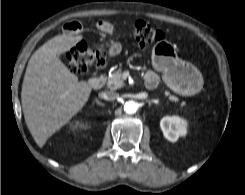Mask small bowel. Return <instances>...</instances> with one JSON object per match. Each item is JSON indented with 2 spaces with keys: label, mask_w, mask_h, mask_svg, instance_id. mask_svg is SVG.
<instances>
[{
  "label": "small bowel",
  "mask_w": 245,
  "mask_h": 195,
  "mask_svg": "<svg viewBox=\"0 0 245 195\" xmlns=\"http://www.w3.org/2000/svg\"><path fill=\"white\" fill-rule=\"evenodd\" d=\"M97 28L103 33H105L106 35H108L109 37H112L114 34V27L108 21L101 20L97 22ZM80 29H81V24L77 21L67 22L63 26V31L69 35L79 32ZM107 44L109 46V56L110 57L117 56L122 50L121 43H119L118 41L109 40ZM146 78H153L158 81L157 76L152 72H148L146 75Z\"/></svg>",
  "instance_id": "c3829d8e"
}]
</instances>
